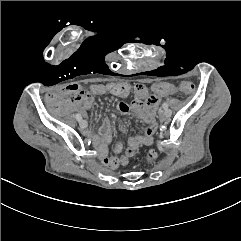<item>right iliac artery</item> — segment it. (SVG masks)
<instances>
[{
  "mask_svg": "<svg viewBox=\"0 0 241 241\" xmlns=\"http://www.w3.org/2000/svg\"><path fill=\"white\" fill-rule=\"evenodd\" d=\"M76 119L80 122L81 120H82V117H81V115L80 114H76Z\"/></svg>",
  "mask_w": 241,
  "mask_h": 241,
  "instance_id": "1",
  "label": "right iliac artery"
}]
</instances>
